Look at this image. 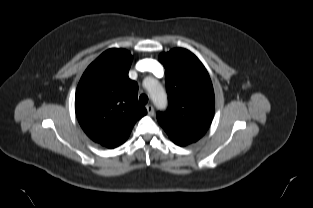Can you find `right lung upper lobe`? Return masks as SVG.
<instances>
[{
    "label": "right lung upper lobe",
    "mask_w": 313,
    "mask_h": 208,
    "mask_svg": "<svg viewBox=\"0 0 313 208\" xmlns=\"http://www.w3.org/2000/svg\"><path fill=\"white\" fill-rule=\"evenodd\" d=\"M132 59L124 49H109L89 65L77 86L78 121L93 141L107 148L124 143L147 114L137 100V83L128 77Z\"/></svg>",
    "instance_id": "1"
}]
</instances>
